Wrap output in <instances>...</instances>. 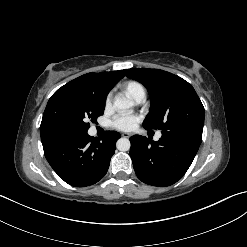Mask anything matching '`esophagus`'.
<instances>
[{
    "mask_svg": "<svg viewBox=\"0 0 247 247\" xmlns=\"http://www.w3.org/2000/svg\"><path fill=\"white\" fill-rule=\"evenodd\" d=\"M123 137L129 138L131 135L129 133H122Z\"/></svg>",
    "mask_w": 247,
    "mask_h": 247,
    "instance_id": "1",
    "label": "esophagus"
}]
</instances>
